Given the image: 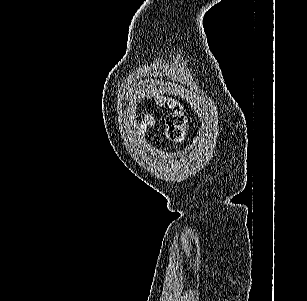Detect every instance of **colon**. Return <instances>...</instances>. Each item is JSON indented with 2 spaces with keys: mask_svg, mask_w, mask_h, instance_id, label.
<instances>
[{
  "mask_svg": "<svg viewBox=\"0 0 307 301\" xmlns=\"http://www.w3.org/2000/svg\"><path fill=\"white\" fill-rule=\"evenodd\" d=\"M163 104L169 108V113L165 118L166 136L170 141L182 142L186 135L184 108L174 100H165Z\"/></svg>",
  "mask_w": 307,
  "mask_h": 301,
  "instance_id": "obj_1",
  "label": "colon"
}]
</instances>
